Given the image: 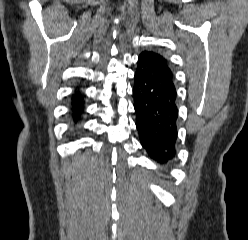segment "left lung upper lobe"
I'll use <instances>...</instances> for the list:
<instances>
[{"instance_id": "left-lung-upper-lobe-1", "label": "left lung upper lobe", "mask_w": 248, "mask_h": 240, "mask_svg": "<svg viewBox=\"0 0 248 240\" xmlns=\"http://www.w3.org/2000/svg\"><path fill=\"white\" fill-rule=\"evenodd\" d=\"M143 54L147 55L154 62H156L167 74L173 77V73L168 66V61L160 54L153 51H145Z\"/></svg>"}]
</instances>
